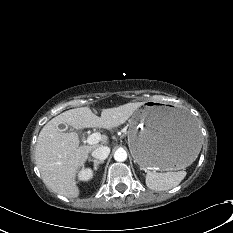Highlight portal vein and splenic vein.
Returning <instances> with one entry per match:
<instances>
[{"mask_svg": "<svg viewBox=\"0 0 233 233\" xmlns=\"http://www.w3.org/2000/svg\"><path fill=\"white\" fill-rule=\"evenodd\" d=\"M101 141V134L100 133H92L86 140V142L90 145L97 144Z\"/></svg>", "mask_w": 233, "mask_h": 233, "instance_id": "1", "label": "portal vein and splenic vein"}]
</instances>
